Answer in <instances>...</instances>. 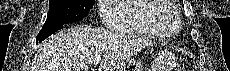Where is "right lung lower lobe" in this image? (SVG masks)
<instances>
[{
  "label": "right lung lower lobe",
  "instance_id": "obj_1",
  "mask_svg": "<svg viewBox=\"0 0 230 71\" xmlns=\"http://www.w3.org/2000/svg\"><path fill=\"white\" fill-rule=\"evenodd\" d=\"M63 25L65 24H60V25H56V26H52L48 28L43 27L36 37V44L42 42L44 39L49 37L51 34L61 29Z\"/></svg>",
  "mask_w": 230,
  "mask_h": 71
}]
</instances>
